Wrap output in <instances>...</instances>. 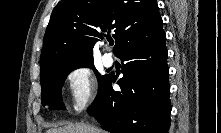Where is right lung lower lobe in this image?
Returning a JSON list of instances; mask_svg holds the SVG:
<instances>
[{"label":"right lung lower lobe","mask_w":221,"mask_h":133,"mask_svg":"<svg viewBox=\"0 0 221 133\" xmlns=\"http://www.w3.org/2000/svg\"><path fill=\"white\" fill-rule=\"evenodd\" d=\"M165 33L155 41L139 42L123 49L125 61L120 91L108 75L88 113L111 133H168L171 104Z\"/></svg>","instance_id":"right-lung-lower-lobe-1"}]
</instances>
